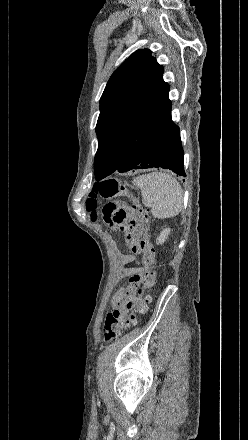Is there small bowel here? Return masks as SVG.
Segmentation results:
<instances>
[{
  "label": "small bowel",
  "mask_w": 248,
  "mask_h": 440,
  "mask_svg": "<svg viewBox=\"0 0 248 440\" xmlns=\"http://www.w3.org/2000/svg\"><path fill=\"white\" fill-rule=\"evenodd\" d=\"M144 226L139 223H132L129 229L124 232L126 239L129 243L130 250L133 255H121L119 256V262L123 265L128 264L136 259V256L139 254L140 250L138 247L139 238L143 232ZM142 272L141 267H132L125 268L122 270V273L126 276H137ZM133 287H129L126 289L119 290L112 300V305L115 310L123 311L126 309H130L135 304V297L132 294ZM131 302L129 305L128 303Z\"/></svg>",
  "instance_id": "c3829d8e"
}]
</instances>
